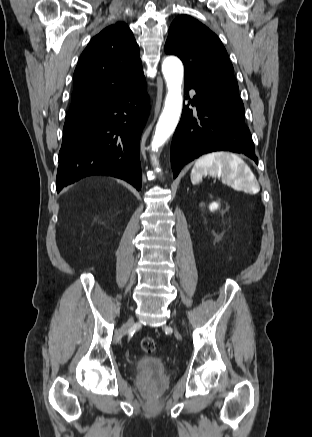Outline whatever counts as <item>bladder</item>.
Instances as JSON below:
<instances>
[{"label":"bladder","mask_w":312,"mask_h":437,"mask_svg":"<svg viewBox=\"0 0 312 437\" xmlns=\"http://www.w3.org/2000/svg\"><path fill=\"white\" fill-rule=\"evenodd\" d=\"M135 369L141 375H159L165 372V362L157 357L142 356L135 362Z\"/></svg>","instance_id":"31cf9c89"}]
</instances>
